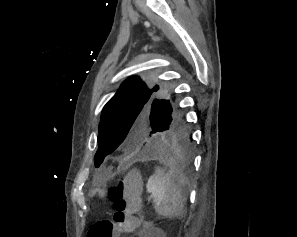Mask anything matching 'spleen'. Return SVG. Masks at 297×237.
<instances>
[{
  "label": "spleen",
  "mask_w": 297,
  "mask_h": 237,
  "mask_svg": "<svg viewBox=\"0 0 297 237\" xmlns=\"http://www.w3.org/2000/svg\"><path fill=\"white\" fill-rule=\"evenodd\" d=\"M183 183L174 180V171L165 174L157 169L148 179L146 188L151 194L158 215L165 218H179L184 213Z\"/></svg>",
  "instance_id": "obj_1"
}]
</instances>
